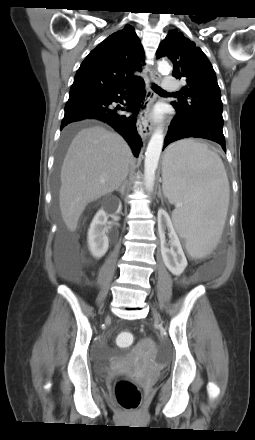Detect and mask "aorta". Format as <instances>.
I'll list each match as a JSON object with an SVG mask.
<instances>
[{"label": "aorta", "instance_id": "1", "mask_svg": "<svg viewBox=\"0 0 255 440\" xmlns=\"http://www.w3.org/2000/svg\"><path fill=\"white\" fill-rule=\"evenodd\" d=\"M158 71L160 73H169L170 65L166 61L158 63ZM164 135L161 128L156 129L153 133L146 150L144 164V183L148 192H152L155 182V172L158 166L159 157L163 148Z\"/></svg>", "mask_w": 255, "mask_h": 440}]
</instances>
